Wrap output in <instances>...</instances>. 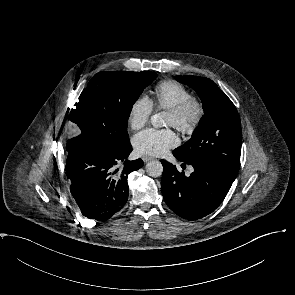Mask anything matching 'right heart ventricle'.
<instances>
[{
	"label": "right heart ventricle",
	"instance_id": "obj_1",
	"mask_svg": "<svg viewBox=\"0 0 295 295\" xmlns=\"http://www.w3.org/2000/svg\"><path fill=\"white\" fill-rule=\"evenodd\" d=\"M154 95V105L166 110L173 109L192 97L186 86L173 80L159 82L155 86Z\"/></svg>",
	"mask_w": 295,
	"mask_h": 295
}]
</instances>
